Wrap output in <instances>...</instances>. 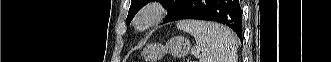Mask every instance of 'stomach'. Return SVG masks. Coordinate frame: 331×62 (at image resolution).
I'll return each instance as SVG.
<instances>
[{"label": "stomach", "instance_id": "obj_1", "mask_svg": "<svg viewBox=\"0 0 331 62\" xmlns=\"http://www.w3.org/2000/svg\"><path fill=\"white\" fill-rule=\"evenodd\" d=\"M191 49V44L188 39L182 36H176L163 44H149L142 52L143 58L146 62H156L165 54L169 53L174 57L180 58L186 56Z\"/></svg>", "mask_w": 331, "mask_h": 62}]
</instances>
